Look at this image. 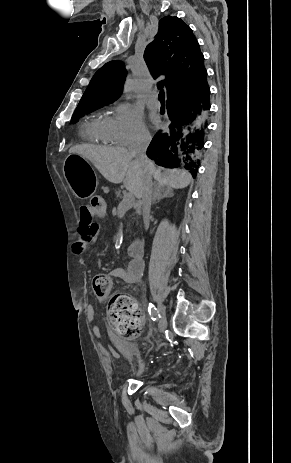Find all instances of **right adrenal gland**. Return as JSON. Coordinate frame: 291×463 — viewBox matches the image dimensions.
Masks as SVG:
<instances>
[{
	"label": "right adrenal gland",
	"instance_id": "2a0ac1e0",
	"mask_svg": "<svg viewBox=\"0 0 291 463\" xmlns=\"http://www.w3.org/2000/svg\"><path fill=\"white\" fill-rule=\"evenodd\" d=\"M173 195L174 194L171 188L161 185H155L153 189L152 203L155 204L156 201H160L165 197H172Z\"/></svg>",
	"mask_w": 291,
	"mask_h": 463
}]
</instances>
